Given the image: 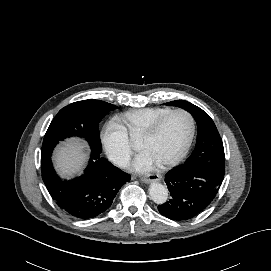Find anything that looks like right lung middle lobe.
I'll list each match as a JSON object with an SVG mask.
<instances>
[{
	"label": "right lung middle lobe",
	"instance_id": "obj_1",
	"mask_svg": "<svg viewBox=\"0 0 271 271\" xmlns=\"http://www.w3.org/2000/svg\"><path fill=\"white\" fill-rule=\"evenodd\" d=\"M117 106L99 100H83L62 108L52 120L43 140L41 157L51 155L59 141L71 136L85 138L92 150L101 153L99 123Z\"/></svg>",
	"mask_w": 271,
	"mask_h": 271
}]
</instances>
